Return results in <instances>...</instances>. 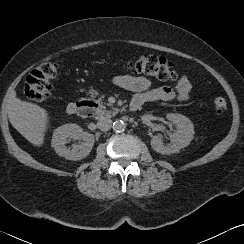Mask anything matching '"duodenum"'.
<instances>
[{"label":"duodenum","instance_id":"410a0bca","mask_svg":"<svg viewBox=\"0 0 244 244\" xmlns=\"http://www.w3.org/2000/svg\"><path fill=\"white\" fill-rule=\"evenodd\" d=\"M130 108L132 110H137L135 109L134 104H130ZM95 109V105L93 102L91 101H87V100H76L74 102H71L68 105V111L71 113H76L82 116H89L92 114V112Z\"/></svg>","mask_w":244,"mask_h":244}]
</instances>
